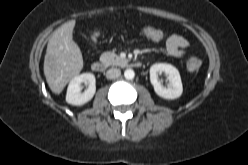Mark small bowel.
<instances>
[{
  "mask_svg": "<svg viewBox=\"0 0 248 165\" xmlns=\"http://www.w3.org/2000/svg\"><path fill=\"white\" fill-rule=\"evenodd\" d=\"M146 29L147 28H144L142 30V33L145 37L150 38L145 34ZM188 47H189L188 41L180 35L169 36L165 44V50L167 56L176 59L182 58L187 52Z\"/></svg>",
  "mask_w": 248,
  "mask_h": 165,
  "instance_id": "c3829d8e",
  "label": "small bowel"
}]
</instances>
